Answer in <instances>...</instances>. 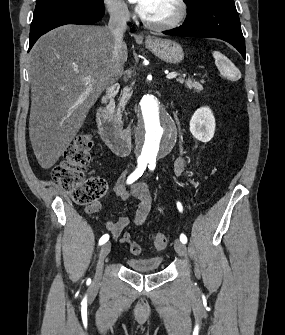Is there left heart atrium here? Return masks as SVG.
I'll use <instances>...</instances> for the list:
<instances>
[{
	"label": "left heart atrium",
	"instance_id": "left-heart-atrium-1",
	"mask_svg": "<svg viewBox=\"0 0 285 335\" xmlns=\"http://www.w3.org/2000/svg\"><path fill=\"white\" fill-rule=\"evenodd\" d=\"M135 9L139 17L147 21V18L151 12L152 1H133Z\"/></svg>",
	"mask_w": 285,
	"mask_h": 335
}]
</instances>
